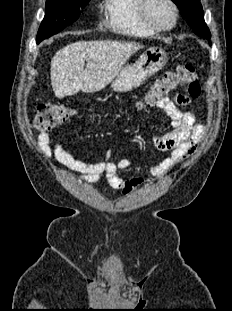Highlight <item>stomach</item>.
Here are the masks:
<instances>
[{
	"label": "stomach",
	"mask_w": 232,
	"mask_h": 311,
	"mask_svg": "<svg viewBox=\"0 0 232 311\" xmlns=\"http://www.w3.org/2000/svg\"><path fill=\"white\" fill-rule=\"evenodd\" d=\"M167 61V54L163 49L151 47L135 63L122 67L111 87L117 92L130 91L161 70Z\"/></svg>",
	"instance_id": "0dacf381"
}]
</instances>
